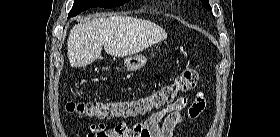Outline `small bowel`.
Returning <instances> with one entry per match:
<instances>
[{
	"label": "small bowel",
	"instance_id": "1",
	"mask_svg": "<svg viewBox=\"0 0 280 137\" xmlns=\"http://www.w3.org/2000/svg\"><path fill=\"white\" fill-rule=\"evenodd\" d=\"M205 106L204 93L200 90L194 98L179 97L164 109L131 126L126 123H119L113 129H106L102 124L91 126L88 137H123L129 133L137 134L138 137H172L179 125L196 119Z\"/></svg>",
	"mask_w": 280,
	"mask_h": 137
}]
</instances>
